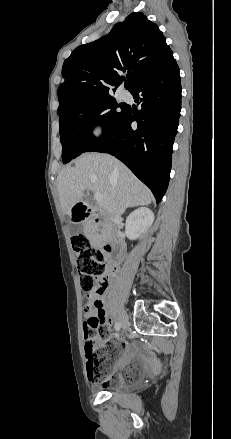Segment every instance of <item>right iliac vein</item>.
Here are the masks:
<instances>
[{
    "mask_svg": "<svg viewBox=\"0 0 231 439\" xmlns=\"http://www.w3.org/2000/svg\"><path fill=\"white\" fill-rule=\"evenodd\" d=\"M120 325L124 330L127 329V319H126V316L124 314H122V316L120 318Z\"/></svg>",
    "mask_w": 231,
    "mask_h": 439,
    "instance_id": "obj_1",
    "label": "right iliac vein"
}]
</instances>
